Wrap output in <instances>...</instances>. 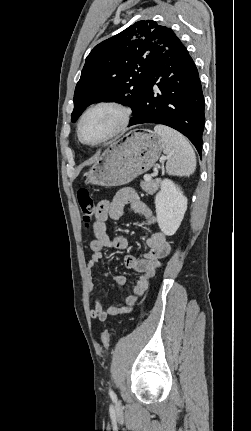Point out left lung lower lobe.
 <instances>
[{"mask_svg":"<svg viewBox=\"0 0 251 431\" xmlns=\"http://www.w3.org/2000/svg\"><path fill=\"white\" fill-rule=\"evenodd\" d=\"M154 86L158 90H154ZM204 96L187 49L174 34L153 57L143 95L129 126L157 123L176 129L202 151Z\"/></svg>","mask_w":251,"mask_h":431,"instance_id":"obj_1","label":"left lung lower lobe"}]
</instances>
